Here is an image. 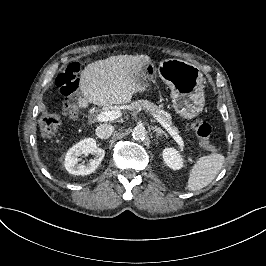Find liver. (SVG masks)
<instances>
[{
	"instance_id": "1",
	"label": "liver",
	"mask_w": 266,
	"mask_h": 266,
	"mask_svg": "<svg viewBox=\"0 0 266 266\" xmlns=\"http://www.w3.org/2000/svg\"><path fill=\"white\" fill-rule=\"evenodd\" d=\"M152 59L147 54L110 55L86 64L80 71L75 107L85 110L90 104L109 107L129 104L135 94L152 88L146 71Z\"/></svg>"
}]
</instances>
